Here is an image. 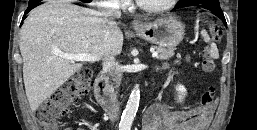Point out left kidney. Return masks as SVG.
I'll use <instances>...</instances> for the list:
<instances>
[{
  "label": "left kidney",
  "mask_w": 257,
  "mask_h": 130,
  "mask_svg": "<svg viewBox=\"0 0 257 130\" xmlns=\"http://www.w3.org/2000/svg\"><path fill=\"white\" fill-rule=\"evenodd\" d=\"M176 91L178 93V102H182L184 97H185V95H186V93H187L186 88L183 85L178 84L176 86Z\"/></svg>",
  "instance_id": "left-kidney-1"
}]
</instances>
